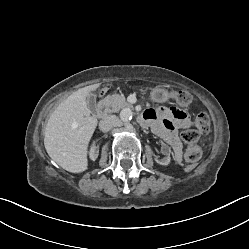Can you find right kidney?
I'll list each match as a JSON object with an SVG mask.
<instances>
[{
  "label": "right kidney",
  "instance_id": "right-kidney-1",
  "mask_svg": "<svg viewBox=\"0 0 249 249\" xmlns=\"http://www.w3.org/2000/svg\"><path fill=\"white\" fill-rule=\"evenodd\" d=\"M88 151L90 152V158L92 160H96V158L98 157V153H99V151L97 150V146L95 144H90L88 146Z\"/></svg>",
  "mask_w": 249,
  "mask_h": 249
}]
</instances>
